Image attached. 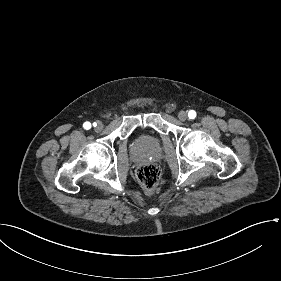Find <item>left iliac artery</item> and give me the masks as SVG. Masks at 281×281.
Returning <instances> with one entry per match:
<instances>
[{
	"label": "left iliac artery",
	"mask_w": 281,
	"mask_h": 281,
	"mask_svg": "<svg viewBox=\"0 0 281 281\" xmlns=\"http://www.w3.org/2000/svg\"><path fill=\"white\" fill-rule=\"evenodd\" d=\"M188 116L190 119H194L196 117V112L194 110L189 111Z\"/></svg>",
	"instance_id": "1"
}]
</instances>
